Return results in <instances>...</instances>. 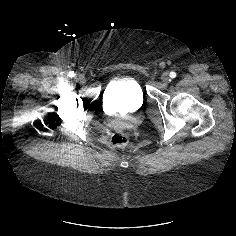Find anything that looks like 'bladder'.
<instances>
[{
    "label": "bladder",
    "instance_id": "bladder-1",
    "mask_svg": "<svg viewBox=\"0 0 236 236\" xmlns=\"http://www.w3.org/2000/svg\"><path fill=\"white\" fill-rule=\"evenodd\" d=\"M103 97L108 107L124 112L140 107L144 101V93L140 83L130 76L114 80L106 88Z\"/></svg>",
    "mask_w": 236,
    "mask_h": 236
}]
</instances>
